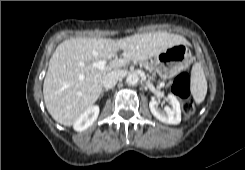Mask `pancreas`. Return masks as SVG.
<instances>
[{
  "instance_id": "cf45deb5",
  "label": "pancreas",
  "mask_w": 245,
  "mask_h": 170,
  "mask_svg": "<svg viewBox=\"0 0 245 170\" xmlns=\"http://www.w3.org/2000/svg\"><path fill=\"white\" fill-rule=\"evenodd\" d=\"M139 63H141L150 73H152V75H154V67L152 64L148 63L147 61H139ZM150 78L153 79V76Z\"/></svg>"
}]
</instances>
